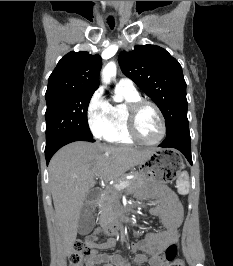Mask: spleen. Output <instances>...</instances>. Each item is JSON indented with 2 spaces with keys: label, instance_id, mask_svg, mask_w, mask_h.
<instances>
[{
  "label": "spleen",
  "instance_id": "spleen-1",
  "mask_svg": "<svg viewBox=\"0 0 233 266\" xmlns=\"http://www.w3.org/2000/svg\"><path fill=\"white\" fill-rule=\"evenodd\" d=\"M190 182L189 175L186 171L182 172L177 180L178 193L181 195H186L189 192Z\"/></svg>",
  "mask_w": 233,
  "mask_h": 266
}]
</instances>
